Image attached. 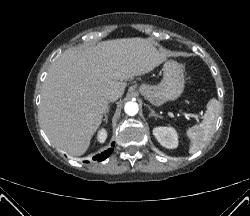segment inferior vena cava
Segmentation results:
<instances>
[{
    "mask_svg": "<svg viewBox=\"0 0 250 216\" xmlns=\"http://www.w3.org/2000/svg\"><path fill=\"white\" fill-rule=\"evenodd\" d=\"M121 96L122 93L118 89H110L105 93V98L109 102H114Z\"/></svg>",
    "mask_w": 250,
    "mask_h": 216,
    "instance_id": "1",
    "label": "inferior vena cava"
}]
</instances>
